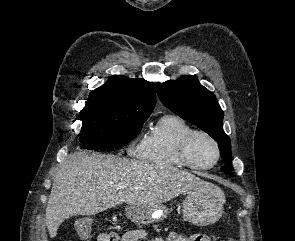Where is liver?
I'll list each match as a JSON object with an SVG mask.
<instances>
[{"instance_id":"6515ba94","label":"liver","mask_w":295,"mask_h":241,"mask_svg":"<svg viewBox=\"0 0 295 241\" xmlns=\"http://www.w3.org/2000/svg\"><path fill=\"white\" fill-rule=\"evenodd\" d=\"M119 184L126 188L118 189ZM207 185L199 177L168 164L76 153L56 174L45 222L54 238L61 223L71 216L95 215L122 203L160 204Z\"/></svg>"}]
</instances>
